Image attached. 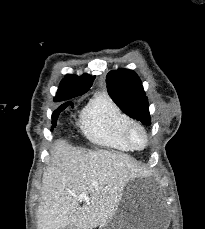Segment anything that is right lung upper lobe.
<instances>
[{
	"mask_svg": "<svg viewBox=\"0 0 205 229\" xmlns=\"http://www.w3.org/2000/svg\"><path fill=\"white\" fill-rule=\"evenodd\" d=\"M94 79L95 76L88 74H84L81 77L70 74L66 75L61 81L54 101H64L85 94L92 86Z\"/></svg>",
	"mask_w": 205,
	"mask_h": 229,
	"instance_id": "right-lung-upper-lobe-1",
	"label": "right lung upper lobe"
}]
</instances>
